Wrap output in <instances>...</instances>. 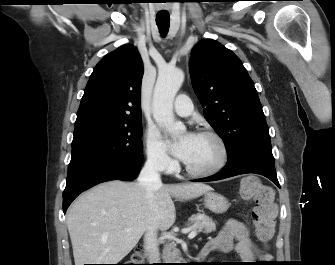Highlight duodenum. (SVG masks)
I'll use <instances>...</instances> for the list:
<instances>
[{"label":"duodenum","instance_id":"duodenum-1","mask_svg":"<svg viewBox=\"0 0 335 265\" xmlns=\"http://www.w3.org/2000/svg\"><path fill=\"white\" fill-rule=\"evenodd\" d=\"M213 251V247H210L208 245H205L201 252L199 253L197 260L202 261L204 260L211 252Z\"/></svg>","mask_w":335,"mask_h":265}]
</instances>
